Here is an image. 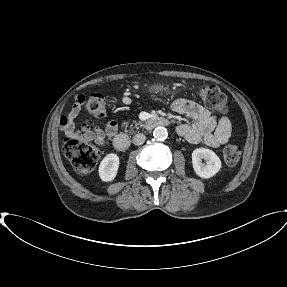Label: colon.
I'll return each mask as SVG.
<instances>
[{
	"label": "colon",
	"instance_id": "5ec220e1",
	"mask_svg": "<svg viewBox=\"0 0 287 287\" xmlns=\"http://www.w3.org/2000/svg\"><path fill=\"white\" fill-rule=\"evenodd\" d=\"M203 103L212 111L226 113L228 111L226 95L214 85H205L201 89ZM76 102L94 118H101L106 112V99L101 93H93L87 97L79 96ZM64 151L70 158L76 172L88 174L95 168L100 155V149L92 142L78 135L67 134L64 138ZM224 160L229 165L238 163L241 148L238 145H228L223 151Z\"/></svg>",
	"mask_w": 287,
	"mask_h": 287
}]
</instances>
